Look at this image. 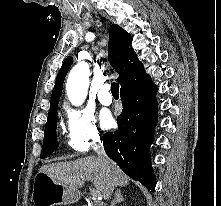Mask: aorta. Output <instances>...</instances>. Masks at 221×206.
I'll return each instance as SVG.
<instances>
[{
  "label": "aorta",
  "mask_w": 221,
  "mask_h": 206,
  "mask_svg": "<svg viewBox=\"0 0 221 206\" xmlns=\"http://www.w3.org/2000/svg\"><path fill=\"white\" fill-rule=\"evenodd\" d=\"M90 69L87 63H79L70 71L66 83L69 101L74 106H80L86 99L89 87Z\"/></svg>",
  "instance_id": "aorta-1"
}]
</instances>
